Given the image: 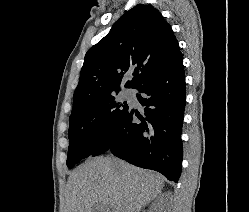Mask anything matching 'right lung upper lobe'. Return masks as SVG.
Returning <instances> with one entry per match:
<instances>
[{
  "label": "right lung upper lobe",
  "mask_w": 249,
  "mask_h": 212,
  "mask_svg": "<svg viewBox=\"0 0 249 212\" xmlns=\"http://www.w3.org/2000/svg\"><path fill=\"white\" fill-rule=\"evenodd\" d=\"M179 55L178 41L161 13L136 5L86 53L73 109L118 93L123 77L133 69L134 77L125 87L137 89Z\"/></svg>",
  "instance_id": "obj_1"
}]
</instances>
